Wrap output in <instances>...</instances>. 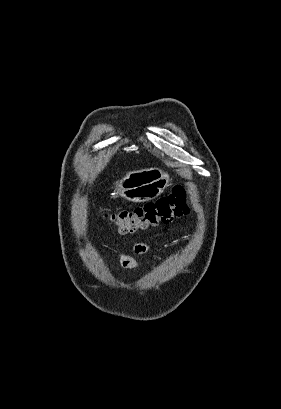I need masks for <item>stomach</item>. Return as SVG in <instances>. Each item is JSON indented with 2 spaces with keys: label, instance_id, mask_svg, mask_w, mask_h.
Returning a JSON list of instances; mask_svg holds the SVG:
<instances>
[{
  "label": "stomach",
  "instance_id": "0dacf381",
  "mask_svg": "<svg viewBox=\"0 0 281 409\" xmlns=\"http://www.w3.org/2000/svg\"><path fill=\"white\" fill-rule=\"evenodd\" d=\"M171 182L170 174L160 168L131 170L121 180L114 182L119 196L131 202H146L164 192Z\"/></svg>",
  "mask_w": 281,
  "mask_h": 409
}]
</instances>
